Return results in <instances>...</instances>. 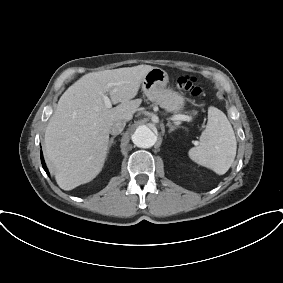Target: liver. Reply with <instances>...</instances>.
I'll return each instance as SVG.
<instances>
[{
    "mask_svg": "<svg viewBox=\"0 0 283 283\" xmlns=\"http://www.w3.org/2000/svg\"><path fill=\"white\" fill-rule=\"evenodd\" d=\"M153 68L138 65L88 73L64 92L44 137L45 155L61 189L72 190L101 172L110 127L118 120L133 118L142 102L134 98ZM107 94L114 104L119 103L116 107L105 106L103 96Z\"/></svg>",
    "mask_w": 283,
    "mask_h": 283,
    "instance_id": "liver-1",
    "label": "liver"
}]
</instances>
